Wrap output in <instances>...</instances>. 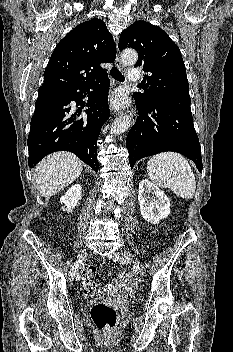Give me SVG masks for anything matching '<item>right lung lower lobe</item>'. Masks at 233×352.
Segmentation results:
<instances>
[{
    "mask_svg": "<svg viewBox=\"0 0 233 352\" xmlns=\"http://www.w3.org/2000/svg\"><path fill=\"white\" fill-rule=\"evenodd\" d=\"M92 90V91H90ZM109 79L103 76L73 87L63 96L38 98L28 136L29 166L56 151H70L98 172L97 144L108 120ZM88 97V101L82 99ZM75 101V108L72 102ZM88 107L84 112L83 107Z\"/></svg>",
    "mask_w": 233,
    "mask_h": 352,
    "instance_id": "98d812e1",
    "label": "right lung lower lobe"
}]
</instances>
